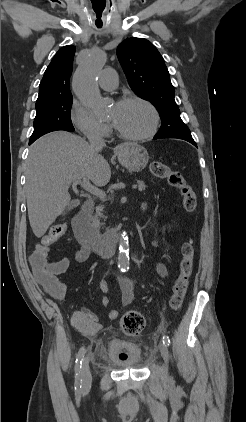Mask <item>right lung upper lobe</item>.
I'll list each match as a JSON object with an SVG mask.
<instances>
[{"instance_id":"1","label":"right lung upper lobe","mask_w":246,"mask_h":422,"mask_svg":"<svg viewBox=\"0 0 246 422\" xmlns=\"http://www.w3.org/2000/svg\"><path fill=\"white\" fill-rule=\"evenodd\" d=\"M74 54L75 47L73 45L64 46L55 54L39 85L36 108L46 106L62 98L72 97L70 77Z\"/></svg>"}]
</instances>
